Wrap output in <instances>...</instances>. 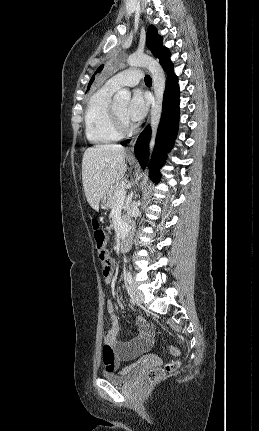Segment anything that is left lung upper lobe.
Instances as JSON below:
<instances>
[{"instance_id":"left-lung-upper-lobe-1","label":"left lung upper lobe","mask_w":259,"mask_h":431,"mask_svg":"<svg viewBox=\"0 0 259 431\" xmlns=\"http://www.w3.org/2000/svg\"><path fill=\"white\" fill-rule=\"evenodd\" d=\"M147 46L151 50L152 54L157 58H160V56L166 49V47H164L162 44V37L158 35L157 30L155 29L154 26H149L147 30ZM102 69H103V65L97 69L96 73L100 72ZM93 80H94V76L91 78L89 82L88 89L91 83L93 82Z\"/></svg>"}]
</instances>
